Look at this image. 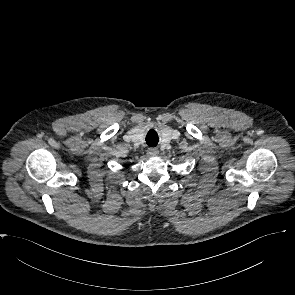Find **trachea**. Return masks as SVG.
I'll return each instance as SVG.
<instances>
[{"label": "trachea", "instance_id": "trachea-1", "mask_svg": "<svg viewBox=\"0 0 295 295\" xmlns=\"http://www.w3.org/2000/svg\"><path fill=\"white\" fill-rule=\"evenodd\" d=\"M146 143L149 146H156L158 144V135L155 131H150L147 134Z\"/></svg>", "mask_w": 295, "mask_h": 295}]
</instances>
